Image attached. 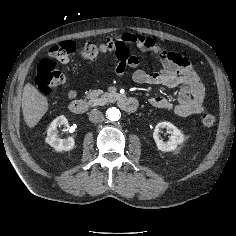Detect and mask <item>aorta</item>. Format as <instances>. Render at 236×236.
Here are the masks:
<instances>
[{
    "label": "aorta",
    "mask_w": 236,
    "mask_h": 236,
    "mask_svg": "<svg viewBox=\"0 0 236 236\" xmlns=\"http://www.w3.org/2000/svg\"><path fill=\"white\" fill-rule=\"evenodd\" d=\"M106 116L111 121H117L120 119V111L115 107L109 108L106 112Z\"/></svg>",
    "instance_id": "762f6f07"
}]
</instances>
